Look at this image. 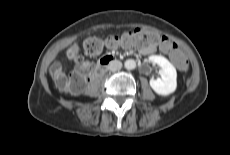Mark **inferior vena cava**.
<instances>
[{
	"label": "inferior vena cava",
	"mask_w": 230,
	"mask_h": 155,
	"mask_svg": "<svg viewBox=\"0 0 230 155\" xmlns=\"http://www.w3.org/2000/svg\"><path fill=\"white\" fill-rule=\"evenodd\" d=\"M122 68V63L118 60H114L112 62H110V64L108 65V70L110 71H118Z\"/></svg>",
	"instance_id": "602c4592"
}]
</instances>
